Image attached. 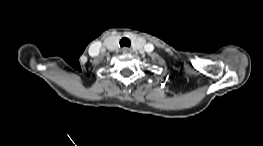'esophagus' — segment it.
I'll return each mask as SVG.
<instances>
[{
	"mask_svg": "<svg viewBox=\"0 0 263 146\" xmlns=\"http://www.w3.org/2000/svg\"><path fill=\"white\" fill-rule=\"evenodd\" d=\"M122 52H123L124 54H127V53H130L131 50H130L128 47H124V48H122Z\"/></svg>",
	"mask_w": 263,
	"mask_h": 146,
	"instance_id": "34e87169",
	"label": "esophagus"
}]
</instances>
